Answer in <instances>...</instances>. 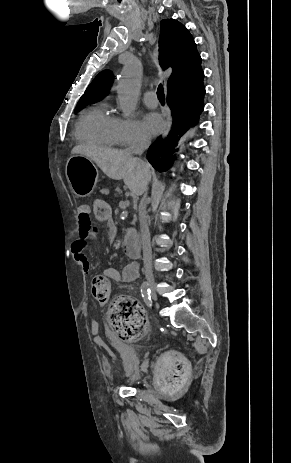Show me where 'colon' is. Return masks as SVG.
<instances>
[{
  "label": "colon",
  "instance_id": "colon-1",
  "mask_svg": "<svg viewBox=\"0 0 291 463\" xmlns=\"http://www.w3.org/2000/svg\"><path fill=\"white\" fill-rule=\"evenodd\" d=\"M98 219H105L110 213L106 202L97 200L94 204ZM91 293L98 303H107L111 297V283L103 276H96L91 282ZM112 331L120 338L134 340L142 337L147 328V319L137 300L125 296L112 299L108 311ZM187 364L176 355H167L162 360V384L170 390L178 389L187 375Z\"/></svg>",
  "mask_w": 291,
  "mask_h": 463
}]
</instances>
